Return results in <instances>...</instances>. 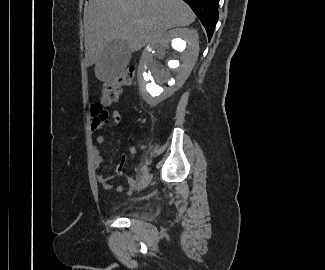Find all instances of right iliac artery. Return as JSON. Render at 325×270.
Masks as SVG:
<instances>
[{"instance_id": "right-iliac-artery-1", "label": "right iliac artery", "mask_w": 325, "mask_h": 270, "mask_svg": "<svg viewBox=\"0 0 325 270\" xmlns=\"http://www.w3.org/2000/svg\"><path fill=\"white\" fill-rule=\"evenodd\" d=\"M142 173H143L142 178H144L146 175H148V168H147L146 165H144V166L142 167Z\"/></svg>"}]
</instances>
